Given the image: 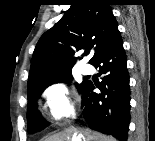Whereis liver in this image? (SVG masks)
I'll return each instance as SVG.
<instances>
[{"label": "liver", "instance_id": "liver-1", "mask_svg": "<svg viewBox=\"0 0 155 141\" xmlns=\"http://www.w3.org/2000/svg\"><path fill=\"white\" fill-rule=\"evenodd\" d=\"M115 141L113 137L103 135L90 129L78 130L75 128H68L62 132L54 134L45 141Z\"/></svg>", "mask_w": 155, "mask_h": 141}]
</instances>
